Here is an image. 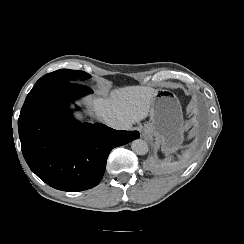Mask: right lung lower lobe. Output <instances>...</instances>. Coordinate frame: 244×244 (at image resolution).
I'll list each match as a JSON object with an SVG mask.
<instances>
[{
    "label": "right lung lower lobe",
    "instance_id": "obj_1",
    "mask_svg": "<svg viewBox=\"0 0 244 244\" xmlns=\"http://www.w3.org/2000/svg\"><path fill=\"white\" fill-rule=\"evenodd\" d=\"M71 81L36 84L26 97L18 130L23 156L45 183L63 191H82L103 177L110 151L139 138L103 124L74 120L69 104L91 93Z\"/></svg>",
    "mask_w": 244,
    "mask_h": 244
}]
</instances>
